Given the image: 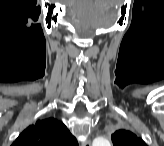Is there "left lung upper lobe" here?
<instances>
[{"label": "left lung upper lobe", "mask_w": 164, "mask_h": 146, "mask_svg": "<svg viewBox=\"0 0 164 146\" xmlns=\"http://www.w3.org/2000/svg\"><path fill=\"white\" fill-rule=\"evenodd\" d=\"M114 146H146L145 142L128 130H117L111 135Z\"/></svg>", "instance_id": "5c2ea615"}]
</instances>
